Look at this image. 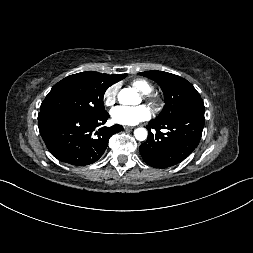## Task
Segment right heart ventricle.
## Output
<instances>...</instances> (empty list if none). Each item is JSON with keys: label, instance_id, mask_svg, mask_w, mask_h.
Instances as JSON below:
<instances>
[{"label": "right heart ventricle", "instance_id": "right-heart-ventricle-1", "mask_svg": "<svg viewBox=\"0 0 253 253\" xmlns=\"http://www.w3.org/2000/svg\"><path fill=\"white\" fill-rule=\"evenodd\" d=\"M131 85L142 94H148L153 90L151 82L144 78L133 79Z\"/></svg>", "mask_w": 253, "mask_h": 253}]
</instances>
